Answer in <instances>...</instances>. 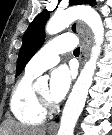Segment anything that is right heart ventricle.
Returning a JSON list of instances; mask_svg holds the SVG:
<instances>
[{
  "mask_svg": "<svg viewBox=\"0 0 112 135\" xmlns=\"http://www.w3.org/2000/svg\"><path fill=\"white\" fill-rule=\"evenodd\" d=\"M36 74L25 72L13 89L10 99V110L13 116L26 125L41 124L46 117L36 100L34 79Z\"/></svg>",
  "mask_w": 112,
  "mask_h": 135,
  "instance_id": "1",
  "label": "right heart ventricle"
}]
</instances>
